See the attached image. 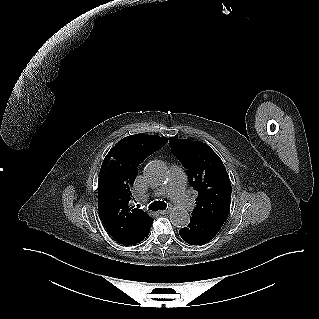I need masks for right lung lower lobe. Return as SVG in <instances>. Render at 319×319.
<instances>
[{
    "mask_svg": "<svg viewBox=\"0 0 319 319\" xmlns=\"http://www.w3.org/2000/svg\"><path fill=\"white\" fill-rule=\"evenodd\" d=\"M149 231H150V228H149L148 231L141 237V239L138 241V243H140L145 237L148 236ZM136 244H137V243H136Z\"/></svg>",
    "mask_w": 319,
    "mask_h": 319,
    "instance_id": "right-lung-lower-lobe-1",
    "label": "right lung lower lobe"
}]
</instances>
